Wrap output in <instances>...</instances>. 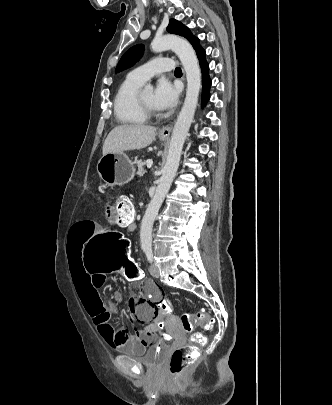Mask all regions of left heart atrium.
I'll use <instances>...</instances> for the list:
<instances>
[{
  "label": "left heart atrium",
  "instance_id": "obj_1",
  "mask_svg": "<svg viewBox=\"0 0 332 405\" xmlns=\"http://www.w3.org/2000/svg\"><path fill=\"white\" fill-rule=\"evenodd\" d=\"M178 88L166 79H160L154 90V106L157 110H169L178 100Z\"/></svg>",
  "mask_w": 332,
  "mask_h": 405
}]
</instances>
